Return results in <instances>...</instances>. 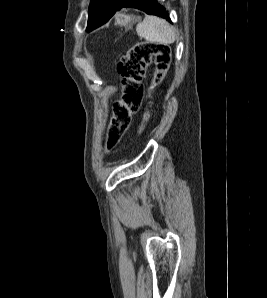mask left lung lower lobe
I'll return each mask as SVG.
<instances>
[{
	"label": "left lung lower lobe",
	"mask_w": 267,
	"mask_h": 298,
	"mask_svg": "<svg viewBox=\"0 0 267 298\" xmlns=\"http://www.w3.org/2000/svg\"><path fill=\"white\" fill-rule=\"evenodd\" d=\"M124 7L140 9L147 14L157 15L170 21L167 16L166 10L162 6H160L156 0H117L114 1L113 4L106 10H101L97 15L89 18L86 31L90 32L93 29L103 25L116 13V11H119L121 8Z\"/></svg>",
	"instance_id": "left-lung-lower-lobe-1"
}]
</instances>
